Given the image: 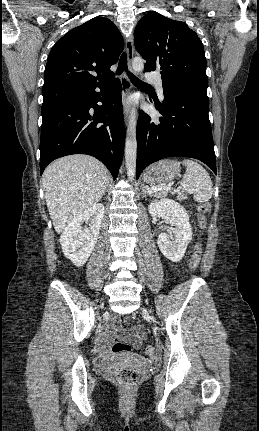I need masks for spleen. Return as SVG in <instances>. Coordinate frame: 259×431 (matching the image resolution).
I'll list each match as a JSON object with an SVG mask.
<instances>
[{
    "label": "spleen",
    "mask_w": 259,
    "mask_h": 431,
    "mask_svg": "<svg viewBox=\"0 0 259 431\" xmlns=\"http://www.w3.org/2000/svg\"><path fill=\"white\" fill-rule=\"evenodd\" d=\"M183 164L186 167V173L180 183L182 193L192 192L193 198L197 202L209 201L213 194V184L209 173L202 165L191 159L183 160ZM178 198L182 199L183 195L180 194Z\"/></svg>",
    "instance_id": "1"
}]
</instances>
